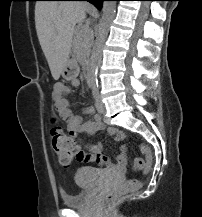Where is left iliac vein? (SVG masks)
Wrapping results in <instances>:
<instances>
[{
  "label": "left iliac vein",
  "mask_w": 202,
  "mask_h": 217,
  "mask_svg": "<svg viewBox=\"0 0 202 217\" xmlns=\"http://www.w3.org/2000/svg\"><path fill=\"white\" fill-rule=\"evenodd\" d=\"M95 100H96V109H97L98 113H101V114L105 113V110H106L105 105L102 102L99 94L95 97Z\"/></svg>",
  "instance_id": "1"
}]
</instances>
